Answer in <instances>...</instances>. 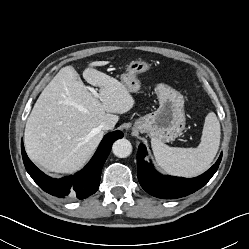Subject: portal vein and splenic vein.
Wrapping results in <instances>:
<instances>
[{"label":"portal vein and splenic vein","mask_w":249,"mask_h":249,"mask_svg":"<svg viewBox=\"0 0 249 249\" xmlns=\"http://www.w3.org/2000/svg\"><path fill=\"white\" fill-rule=\"evenodd\" d=\"M90 91L92 92L94 98H98L99 97L97 91L94 88H90Z\"/></svg>","instance_id":"obj_1"}]
</instances>
